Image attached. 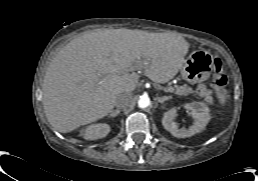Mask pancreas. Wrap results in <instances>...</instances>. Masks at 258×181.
<instances>
[{
    "label": "pancreas",
    "instance_id": "1",
    "mask_svg": "<svg viewBox=\"0 0 258 181\" xmlns=\"http://www.w3.org/2000/svg\"><path fill=\"white\" fill-rule=\"evenodd\" d=\"M173 93L177 94V95H189V94H193L194 90L188 86V85H182V86H175L173 87Z\"/></svg>",
    "mask_w": 258,
    "mask_h": 181
}]
</instances>
